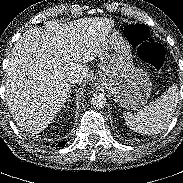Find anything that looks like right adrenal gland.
<instances>
[{"label": "right adrenal gland", "mask_w": 183, "mask_h": 183, "mask_svg": "<svg viewBox=\"0 0 183 183\" xmlns=\"http://www.w3.org/2000/svg\"><path fill=\"white\" fill-rule=\"evenodd\" d=\"M72 93V91L70 90V92H69V94H68V96H67V101H71V99H70V94Z\"/></svg>", "instance_id": "right-adrenal-gland-1"}]
</instances>
